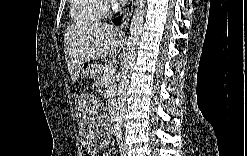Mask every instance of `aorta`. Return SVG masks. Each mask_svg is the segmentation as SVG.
Here are the masks:
<instances>
[{
  "label": "aorta",
  "mask_w": 247,
  "mask_h": 156,
  "mask_svg": "<svg viewBox=\"0 0 247 156\" xmlns=\"http://www.w3.org/2000/svg\"><path fill=\"white\" fill-rule=\"evenodd\" d=\"M145 16V1L137 0L129 28L128 47L122 63V71L117 92L116 121L121 124L125 111L126 92L129 85L130 72L137 56Z\"/></svg>",
  "instance_id": "obj_1"
}]
</instances>
